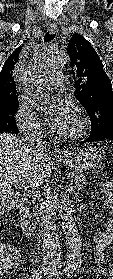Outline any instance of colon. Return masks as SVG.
Instances as JSON below:
<instances>
[{
    "instance_id": "colon-1",
    "label": "colon",
    "mask_w": 113,
    "mask_h": 279,
    "mask_svg": "<svg viewBox=\"0 0 113 279\" xmlns=\"http://www.w3.org/2000/svg\"><path fill=\"white\" fill-rule=\"evenodd\" d=\"M3 222L0 219V230ZM15 260V253L11 250L10 246L0 244V274L3 273L5 265L8 262Z\"/></svg>"
}]
</instances>
